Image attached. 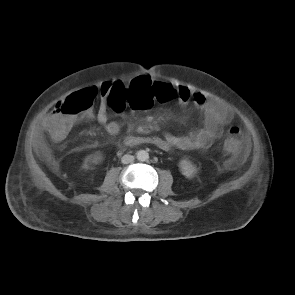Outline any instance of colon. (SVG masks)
I'll list each match as a JSON object with an SVG mask.
<instances>
[{
    "label": "colon",
    "mask_w": 295,
    "mask_h": 295,
    "mask_svg": "<svg viewBox=\"0 0 295 295\" xmlns=\"http://www.w3.org/2000/svg\"><path fill=\"white\" fill-rule=\"evenodd\" d=\"M108 103L116 110L130 106L131 110H153L155 102H170L175 97V90L169 84L145 83L143 87H127L121 83H108L104 87ZM97 90L85 88L69 95L55 106L56 117L49 127L48 133L56 140L68 136L76 121L86 114L97 99ZM225 150L235 154L241 149V136L237 127H229L225 131Z\"/></svg>",
    "instance_id": "1"
}]
</instances>
